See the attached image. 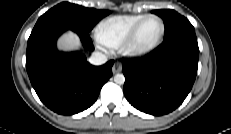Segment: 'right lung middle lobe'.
<instances>
[{
  "instance_id": "dd1d6c3e",
  "label": "right lung middle lobe",
  "mask_w": 231,
  "mask_h": 134,
  "mask_svg": "<svg viewBox=\"0 0 231 134\" xmlns=\"http://www.w3.org/2000/svg\"><path fill=\"white\" fill-rule=\"evenodd\" d=\"M108 14L110 11L89 9L63 2L43 14L38 19L34 29L49 23H60L89 32L100 19Z\"/></svg>"
}]
</instances>
